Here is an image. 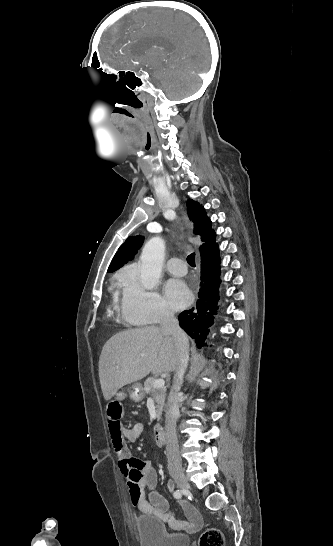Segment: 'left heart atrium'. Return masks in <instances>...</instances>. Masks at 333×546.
<instances>
[{
    "label": "left heart atrium",
    "mask_w": 333,
    "mask_h": 546,
    "mask_svg": "<svg viewBox=\"0 0 333 546\" xmlns=\"http://www.w3.org/2000/svg\"><path fill=\"white\" fill-rule=\"evenodd\" d=\"M165 294L169 304L176 310L184 308L191 299L188 287L178 279H171L167 282Z\"/></svg>",
    "instance_id": "obj_1"
}]
</instances>
